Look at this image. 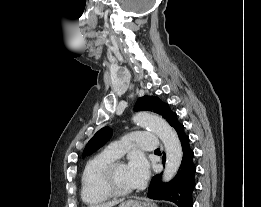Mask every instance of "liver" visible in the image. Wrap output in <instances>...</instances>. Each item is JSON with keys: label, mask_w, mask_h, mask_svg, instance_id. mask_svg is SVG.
Here are the masks:
<instances>
[{"label": "liver", "mask_w": 261, "mask_h": 207, "mask_svg": "<svg viewBox=\"0 0 261 207\" xmlns=\"http://www.w3.org/2000/svg\"><path fill=\"white\" fill-rule=\"evenodd\" d=\"M123 202V199L121 200H113L107 203H103V204H98V205H91L89 207H113L115 205H117L118 203Z\"/></svg>", "instance_id": "obj_1"}]
</instances>
